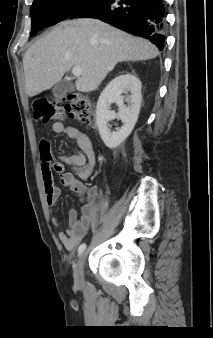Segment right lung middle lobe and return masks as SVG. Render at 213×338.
Segmentation results:
<instances>
[{"mask_svg": "<svg viewBox=\"0 0 213 338\" xmlns=\"http://www.w3.org/2000/svg\"><path fill=\"white\" fill-rule=\"evenodd\" d=\"M95 0H34L30 8L31 34L70 18L73 13Z\"/></svg>", "mask_w": 213, "mask_h": 338, "instance_id": "right-lung-middle-lobe-1", "label": "right lung middle lobe"}]
</instances>
